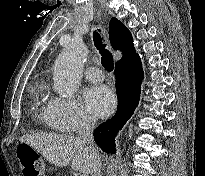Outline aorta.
I'll return each instance as SVG.
<instances>
[{
  "label": "aorta",
  "instance_id": "obj_1",
  "mask_svg": "<svg viewBox=\"0 0 205 176\" xmlns=\"http://www.w3.org/2000/svg\"><path fill=\"white\" fill-rule=\"evenodd\" d=\"M88 54L81 41L71 42L57 57L54 64L53 88L57 94L70 98L78 89Z\"/></svg>",
  "mask_w": 205,
  "mask_h": 176
}]
</instances>
